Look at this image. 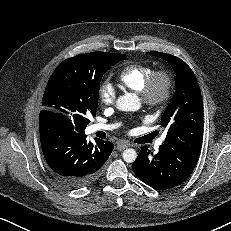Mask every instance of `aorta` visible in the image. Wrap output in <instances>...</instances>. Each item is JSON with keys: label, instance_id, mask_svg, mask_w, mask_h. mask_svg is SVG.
Here are the masks:
<instances>
[{"label": "aorta", "instance_id": "aorta-1", "mask_svg": "<svg viewBox=\"0 0 231 231\" xmlns=\"http://www.w3.org/2000/svg\"><path fill=\"white\" fill-rule=\"evenodd\" d=\"M116 106L121 111H137L141 107L140 99L134 93H127L120 96L116 101ZM137 158V152L132 149H126L123 152V159L127 163H133Z\"/></svg>", "mask_w": 231, "mask_h": 231}]
</instances>
